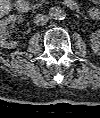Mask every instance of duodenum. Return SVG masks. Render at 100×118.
Masks as SVG:
<instances>
[{"label":"duodenum","instance_id":"obj_1","mask_svg":"<svg viewBox=\"0 0 100 118\" xmlns=\"http://www.w3.org/2000/svg\"><path fill=\"white\" fill-rule=\"evenodd\" d=\"M65 5L73 10L78 8V4L75 0H65ZM15 10L18 14L24 15L29 11V5L25 0H17L15 2Z\"/></svg>","mask_w":100,"mask_h":118}]
</instances>
